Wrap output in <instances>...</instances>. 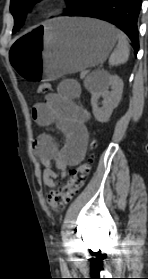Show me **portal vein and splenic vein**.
<instances>
[{"label":"portal vein and splenic vein","mask_w":148,"mask_h":279,"mask_svg":"<svg viewBox=\"0 0 148 279\" xmlns=\"http://www.w3.org/2000/svg\"><path fill=\"white\" fill-rule=\"evenodd\" d=\"M88 73V71H84L83 74L86 75Z\"/></svg>","instance_id":"18ae733b"}]
</instances>
